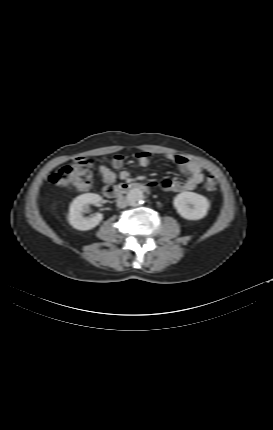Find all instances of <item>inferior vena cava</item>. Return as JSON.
<instances>
[{"label":"inferior vena cava","mask_w":273,"mask_h":430,"mask_svg":"<svg viewBox=\"0 0 273 430\" xmlns=\"http://www.w3.org/2000/svg\"><path fill=\"white\" fill-rule=\"evenodd\" d=\"M127 205H128V202H127L126 198H124L123 196H121L117 199V206L119 208H125Z\"/></svg>","instance_id":"inferior-vena-cava-1"}]
</instances>
